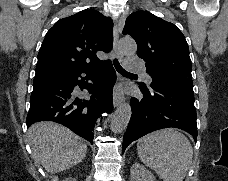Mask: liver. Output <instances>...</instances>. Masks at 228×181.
I'll return each instance as SVG.
<instances>
[{"label":"liver","mask_w":228,"mask_h":181,"mask_svg":"<svg viewBox=\"0 0 228 181\" xmlns=\"http://www.w3.org/2000/svg\"><path fill=\"white\" fill-rule=\"evenodd\" d=\"M32 159L41 163L47 173L66 171L83 161L87 153L84 139L52 121L34 123L28 129Z\"/></svg>","instance_id":"6515ba94"}]
</instances>
